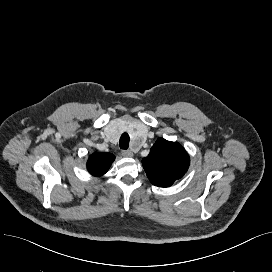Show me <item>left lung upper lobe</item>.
Instances as JSON below:
<instances>
[{
    "label": "left lung upper lobe",
    "mask_w": 272,
    "mask_h": 272,
    "mask_svg": "<svg viewBox=\"0 0 272 272\" xmlns=\"http://www.w3.org/2000/svg\"><path fill=\"white\" fill-rule=\"evenodd\" d=\"M142 164L152 184L169 187L183 177L190 159L179 143L158 138L149 155L142 159Z\"/></svg>",
    "instance_id": "left-lung-upper-lobe-1"
}]
</instances>
